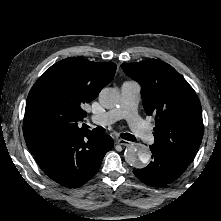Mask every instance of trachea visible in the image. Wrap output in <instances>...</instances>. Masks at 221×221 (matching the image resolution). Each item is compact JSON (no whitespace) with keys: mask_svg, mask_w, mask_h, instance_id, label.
Masks as SVG:
<instances>
[{"mask_svg":"<svg viewBox=\"0 0 221 221\" xmlns=\"http://www.w3.org/2000/svg\"><path fill=\"white\" fill-rule=\"evenodd\" d=\"M93 131L95 132H98V133H104V128L103 127H96L95 129H93ZM120 136L125 139V140H128V141H135L136 138L134 135H131L129 133H122L120 134Z\"/></svg>","mask_w":221,"mask_h":221,"instance_id":"obj_1","label":"trachea"}]
</instances>
